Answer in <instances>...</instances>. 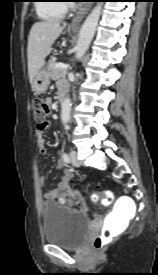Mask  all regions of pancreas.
<instances>
[{
  "label": "pancreas",
  "instance_id": "1",
  "mask_svg": "<svg viewBox=\"0 0 158 275\" xmlns=\"http://www.w3.org/2000/svg\"><path fill=\"white\" fill-rule=\"evenodd\" d=\"M56 64V58H51L47 67L49 77L54 80L65 77L67 74V69L56 68Z\"/></svg>",
  "mask_w": 158,
  "mask_h": 275
}]
</instances>
